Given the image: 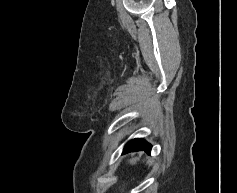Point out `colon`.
Listing matches in <instances>:
<instances>
[{
    "label": "colon",
    "mask_w": 237,
    "mask_h": 193,
    "mask_svg": "<svg viewBox=\"0 0 237 193\" xmlns=\"http://www.w3.org/2000/svg\"><path fill=\"white\" fill-rule=\"evenodd\" d=\"M137 163V160H132V161H130V165H134V164H136Z\"/></svg>",
    "instance_id": "1"
}]
</instances>
